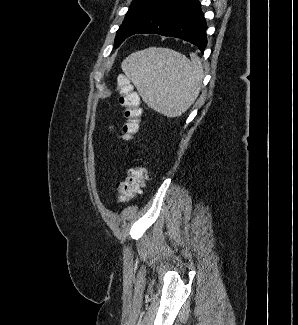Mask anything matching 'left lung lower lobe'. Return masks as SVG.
I'll return each instance as SVG.
<instances>
[{
	"mask_svg": "<svg viewBox=\"0 0 298 325\" xmlns=\"http://www.w3.org/2000/svg\"><path fill=\"white\" fill-rule=\"evenodd\" d=\"M207 26L199 0H162L131 30L134 34H160L183 39L203 53ZM128 36V37H129Z\"/></svg>",
	"mask_w": 298,
	"mask_h": 325,
	"instance_id": "obj_1",
	"label": "left lung lower lobe"
}]
</instances>
